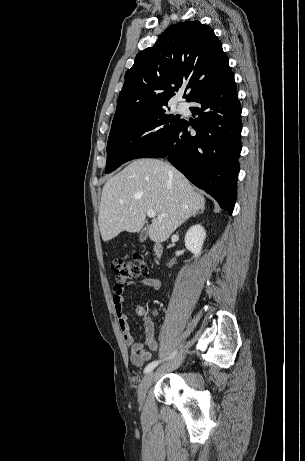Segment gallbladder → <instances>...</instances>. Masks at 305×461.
<instances>
[{"mask_svg": "<svg viewBox=\"0 0 305 461\" xmlns=\"http://www.w3.org/2000/svg\"><path fill=\"white\" fill-rule=\"evenodd\" d=\"M147 238V229L144 228L141 230L140 235H139V241L144 242Z\"/></svg>", "mask_w": 305, "mask_h": 461, "instance_id": "gallbladder-1", "label": "gallbladder"}]
</instances>
